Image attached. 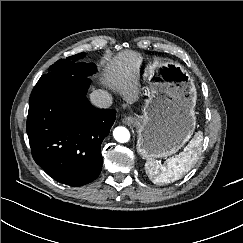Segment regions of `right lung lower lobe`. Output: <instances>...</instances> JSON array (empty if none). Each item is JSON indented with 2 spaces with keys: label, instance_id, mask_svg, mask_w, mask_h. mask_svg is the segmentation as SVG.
Masks as SVG:
<instances>
[{
  "label": "right lung lower lobe",
  "instance_id": "98d812e1",
  "mask_svg": "<svg viewBox=\"0 0 243 243\" xmlns=\"http://www.w3.org/2000/svg\"><path fill=\"white\" fill-rule=\"evenodd\" d=\"M86 76H42L29 101L27 134L35 162L56 181L82 186L102 169L101 143L116 111L86 98Z\"/></svg>",
  "mask_w": 243,
  "mask_h": 243
}]
</instances>
